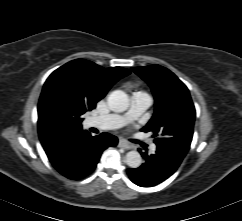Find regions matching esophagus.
I'll return each instance as SVG.
<instances>
[{"mask_svg":"<svg viewBox=\"0 0 242 221\" xmlns=\"http://www.w3.org/2000/svg\"><path fill=\"white\" fill-rule=\"evenodd\" d=\"M118 146L124 149H133V146L126 143L124 140H119Z\"/></svg>","mask_w":242,"mask_h":221,"instance_id":"34e87169","label":"esophagus"}]
</instances>
